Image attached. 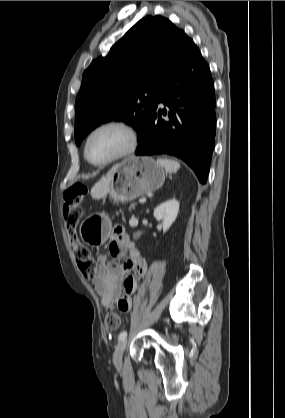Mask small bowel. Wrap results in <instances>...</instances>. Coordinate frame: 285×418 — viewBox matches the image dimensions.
<instances>
[{"instance_id":"1","label":"small bowel","mask_w":285,"mask_h":418,"mask_svg":"<svg viewBox=\"0 0 285 418\" xmlns=\"http://www.w3.org/2000/svg\"><path fill=\"white\" fill-rule=\"evenodd\" d=\"M109 251L116 259L128 253L129 260L120 265L110 261L105 254L99 255L98 274L92 285L104 307L116 304L122 312L128 313L132 309V295L137 290V278L147 274V263L123 232L115 235L109 244Z\"/></svg>"}]
</instances>
